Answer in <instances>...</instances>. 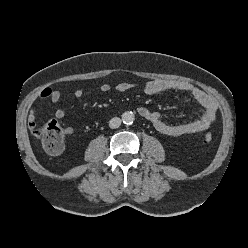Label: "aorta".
<instances>
[{"mask_svg": "<svg viewBox=\"0 0 248 248\" xmlns=\"http://www.w3.org/2000/svg\"><path fill=\"white\" fill-rule=\"evenodd\" d=\"M134 120H135V116L133 112L126 111L122 114V121L124 124H132Z\"/></svg>", "mask_w": 248, "mask_h": 248, "instance_id": "aorta-1", "label": "aorta"}]
</instances>
